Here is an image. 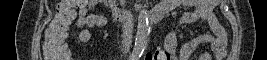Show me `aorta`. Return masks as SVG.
<instances>
[{"instance_id":"obj_1","label":"aorta","mask_w":267,"mask_h":60,"mask_svg":"<svg viewBox=\"0 0 267 60\" xmlns=\"http://www.w3.org/2000/svg\"><path fill=\"white\" fill-rule=\"evenodd\" d=\"M148 31H149L148 15L145 9L141 7L138 14V26H137L135 48H134L135 53L140 54L144 51L147 44Z\"/></svg>"}]
</instances>
